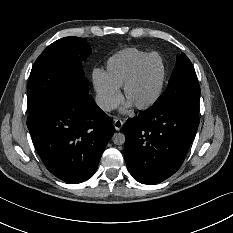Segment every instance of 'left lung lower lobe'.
<instances>
[{"mask_svg": "<svg viewBox=\"0 0 233 233\" xmlns=\"http://www.w3.org/2000/svg\"><path fill=\"white\" fill-rule=\"evenodd\" d=\"M199 126L198 108L151 107L123 125L124 158L140 183L156 184L182 165Z\"/></svg>", "mask_w": 233, "mask_h": 233, "instance_id": "1", "label": "left lung lower lobe"}]
</instances>
